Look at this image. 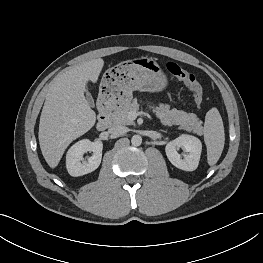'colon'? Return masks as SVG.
Masks as SVG:
<instances>
[{
  "instance_id": "obj_1",
  "label": "colon",
  "mask_w": 263,
  "mask_h": 263,
  "mask_svg": "<svg viewBox=\"0 0 263 263\" xmlns=\"http://www.w3.org/2000/svg\"><path fill=\"white\" fill-rule=\"evenodd\" d=\"M166 68L174 78L183 82L191 90L197 104L201 105L204 100V93L195 76L176 62H168Z\"/></svg>"
}]
</instances>
